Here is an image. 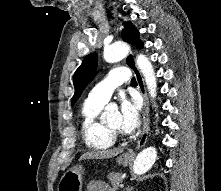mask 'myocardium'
<instances>
[{
    "label": "myocardium",
    "mask_w": 221,
    "mask_h": 191,
    "mask_svg": "<svg viewBox=\"0 0 221 191\" xmlns=\"http://www.w3.org/2000/svg\"><path fill=\"white\" fill-rule=\"evenodd\" d=\"M107 129L113 134V136H120L121 132L119 129L111 127L109 124H105Z\"/></svg>",
    "instance_id": "myocardium-1"
}]
</instances>
